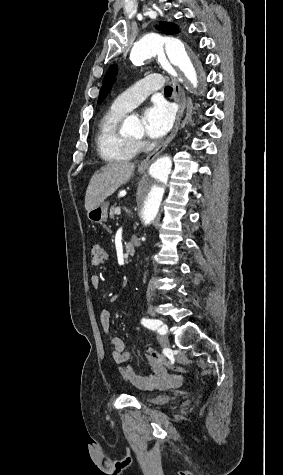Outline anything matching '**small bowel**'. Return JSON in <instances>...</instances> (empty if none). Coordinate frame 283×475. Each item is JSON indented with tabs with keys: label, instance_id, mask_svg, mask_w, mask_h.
I'll return each mask as SVG.
<instances>
[{
	"label": "small bowel",
	"instance_id": "c3829d8e",
	"mask_svg": "<svg viewBox=\"0 0 283 475\" xmlns=\"http://www.w3.org/2000/svg\"><path fill=\"white\" fill-rule=\"evenodd\" d=\"M90 284L94 289H98L101 284V278L98 274H92L90 276ZM99 323L103 333L106 335L112 346V360L114 363L121 365L127 364L121 369L123 378L131 382L133 385L139 388L145 386H161V385H179L181 378L177 375H171L167 372L163 366L162 369H151L152 374L148 376L137 375L131 364L133 358L132 353L125 350V342L121 337L115 336L110 333V313L108 310L103 309L99 313Z\"/></svg>",
	"mask_w": 283,
	"mask_h": 475
}]
</instances>
